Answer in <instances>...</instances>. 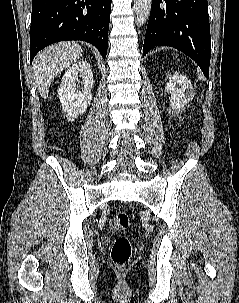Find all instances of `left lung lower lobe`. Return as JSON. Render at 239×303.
<instances>
[{
    "mask_svg": "<svg viewBox=\"0 0 239 303\" xmlns=\"http://www.w3.org/2000/svg\"><path fill=\"white\" fill-rule=\"evenodd\" d=\"M155 46L182 51L208 78L211 37L207 0H152L143 56Z\"/></svg>",
    "mask_w": 239,
    "mask_h": 303,
    "instance_id": "left-lung-lower-lobe-1",
    "label": "left lung lower lobe"
}]
</instances>
